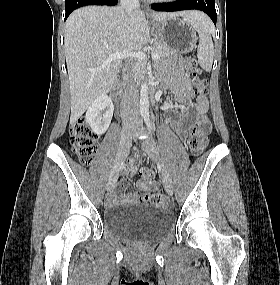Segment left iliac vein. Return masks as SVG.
Listing matches in <instances>:
<instances>
[{"label":"left iliac vein","instance_id":"left-iliac-vein-1","mask_svg":"<svg viewBox=\"0 0 280 285\" xmlns=\"http://www.w3.org/2000/svg\"><path fill=\"white\" fill-rule=\"evenodd\" d=\"M143 147H144L145 151L148 153V155L150 156V158L154 162L159 164V166L161 168L164 188L169 195H172L173 194L172 179H171V176H170L169 172L167 171L166 167L161 163L159 152H158V149H157L155 143L150 138H146L143 141Z\"/></svg>","mask_w":280,"mask_h":285}]
</instances>
